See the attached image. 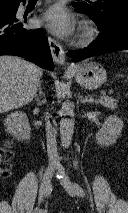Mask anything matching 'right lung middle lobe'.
Here are the masks:
<instances>
[{
	"instance_id": "obj_1",
	"label": "right lung middle lobe",
	"mask_w": 128,
	"mask_h": 213,
	"mask_svg": "<svg viewBox=\"0 0 128 213\" xmlns=\"http://www.w3.org/2000/svg\"><path fill=\"white\" fill-rule=\"evenodd\" d=\"M17 6H12V7H0V14L4 13H13L16 11Z\"/></svg>"
}]
</instances>
